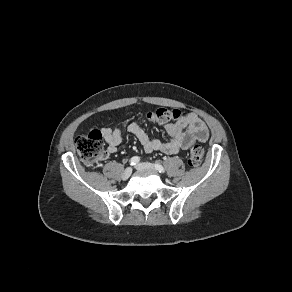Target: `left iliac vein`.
I'll return each mask as SVG.
<instances>
[{"instance_id":"left-iliac-vein-1","label":"left iliac vein","mask_w":292,"mask_h":292,"mask_svg":"<svg viewBox=\"0 0 292 292\" xmlns=\"http://www.w3.org/2000/svg\"><path fill=\"white\" fill-rule=\"evenodd\" d=\"M136 169L138 170H155L154 165H152L151 163H139L136 165Z\"/></svg>"}]
</instances>
